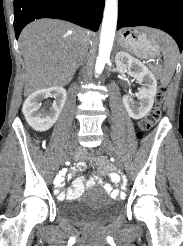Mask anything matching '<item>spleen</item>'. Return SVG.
Wrapping results in <instances>:
<instances>
[{"mask_svg":"<svg viewBox=\"0 0 183 246\" xmlns=\"http://www.w3.org/2000/svg\"><path fill=\"white\" fill-rule=\"evenodd\" d=\"M154 39L161 44V51L165 58L164 67L160 74V81L167 85L175 71L178 57V47L174 40L167 34L159 30H153Z\"/></svg>","mask_w":183,"mask_h":246,"instance_id":"3e777b00","label":"spleen"}]
</instances>
